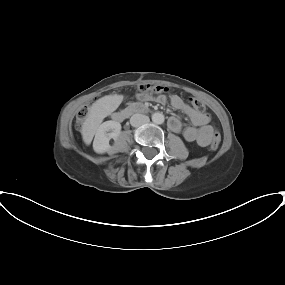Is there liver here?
Listing matches in <instances>:
<instances>
[{
	"label": "liver",
	"instance_id": "obj_1",
	"mask_svg": "<svg viewBox=\"0 0 285 285\" xmlns=\"http://www.w3.org/2000/svg\"><path fill=\"white\" fill-rule=\"evenodd\" d=\"M117 96H104L94 102L87 114L86 120L82 125V138L86 145H89L93 139L103 118L106 117L113 109Z\"/></svg>",
	"mask_w": 285,
	"mask_h": 285
}]
</instances>
